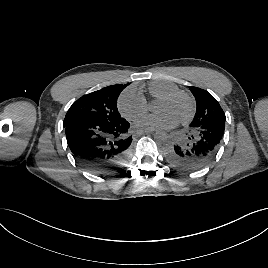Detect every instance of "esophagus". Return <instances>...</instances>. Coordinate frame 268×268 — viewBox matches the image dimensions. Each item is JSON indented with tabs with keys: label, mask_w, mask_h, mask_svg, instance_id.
<instances>
[{
	"label": "esophagus",
	"mask_w": 268,
	"mask_h": 268,
	"mask_svg": "<svg viewBox=\"0 0 268 268\" xmlns=\"http://www.w3.org/2000/svg\"><path fill=\"white\" fill-rule=\"evenodd\" d=\"M136 132H137L138 135H143V134L146 133V131H143L141 129H138Z\"/></svg>",
	"instance_id": "esophagus-1"
}]
</instances>
